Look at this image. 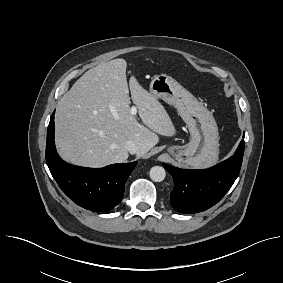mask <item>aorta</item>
Returning <instances> with one entry per match:
<instances>
[{
	"label": "aorta",
	"instance_id": "obj_1",
	"mask_svg": "<svg viewBox=\"0 0 283 283\" xmlns=\"http://www.w3.org/2000/svg\"><path fill=\"white\" fill-rule=\"evenodd\" d=\"M166 171L161 166H154L150 169V178L154 182H161L165 179Z\"/></svg>",
	"mask_w": 283,
	"mask_h": 283
}]
</instances>
